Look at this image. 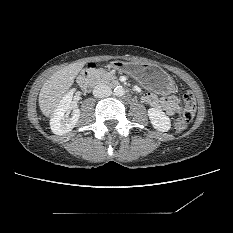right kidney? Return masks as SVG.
<instances>
[{"label":"right kidney","mask_w":233,"mask_h":233,"mask_svg":"<svg viewBox=\"0 0 233 233\" xmlns=\"http://www.w3.org/2000/svg\"><path fill=\"white\" fill-rule=\"evenodd\" d=\"M73 91L64 95L50 120V127L54 134L63 135L72 131L78 122L80 110L72 102ZM72 110L71 116H68Z\"/></svg>","instance_id":"1"}]
</instances>
